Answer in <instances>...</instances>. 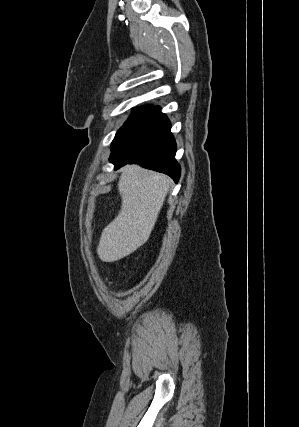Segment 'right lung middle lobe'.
<instances>
[{"label":"right lung middle lobe","instance_id":"right-lung-middle-lobe-1","mask_svg":"<svg viewBox=\"0 0 299 427\" xmlns=\"http://www.w3.org/2000/svg\"><path fill=\"white\" fill-rule=\"evenodd\" d=\"M152 108V105H146L135 109L130 118L116 133V136L112 142L111 149L116 146L123 138H125L137 126V124L152 110Z\"/></svg>","mask_w":299,"mask_h":427}]
</instances>
